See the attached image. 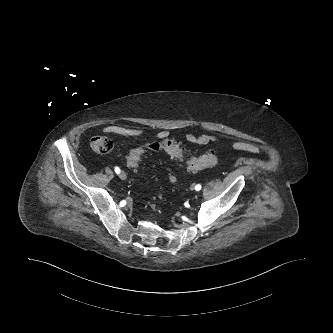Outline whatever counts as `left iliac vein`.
Segmentation results:
<instances>
[{
    "instance_id": "left-iliac-vein-1",
    "label": "left iliac vein",
    "mask_w": 333,
    "mask_h": 333,
    "mask_svg": "<svg viewBox=\"0 0 333 333\" xmlns=\"http://www.w3.org/2000/svg\"><path fill=\"white\" fill-rule=\"evenodd\" d=\"M190 189H191V190H194V185H191Z\"/></svg>"
}]
</instances>
